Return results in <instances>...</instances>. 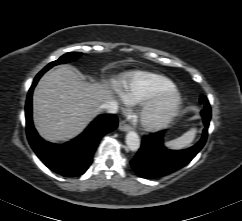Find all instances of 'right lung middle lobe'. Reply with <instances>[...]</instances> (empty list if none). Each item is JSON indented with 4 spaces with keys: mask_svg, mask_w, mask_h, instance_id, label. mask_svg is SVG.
Masks as SVG:
<instances>
[{
    "mask_svg": "<svg viewBox=\"0 0 242 221\" xmlns=\"http://www.w3.org/2000/svg\"><path fill=\"white\" fill-rule=\"evenodd\" d=\"M81 55H82V53H80V52H69V53H66L62 57H60L58 60L48 64L42 71L46 72L48 69H50L51 67H53L55 65L70 62V61L78 58Z\"/></svg>",
    "mask_w": 242,
    "mask_h": 221,
    "instance_id": "obj_1",
    "label": "right lung middle lobe"
}]
</instances>
